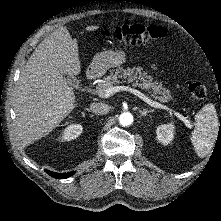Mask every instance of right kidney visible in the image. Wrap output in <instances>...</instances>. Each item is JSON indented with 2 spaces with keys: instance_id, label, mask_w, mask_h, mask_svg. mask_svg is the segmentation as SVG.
I'll use <instances>...</instances> for the list:
<instances>
[{
  "instance_id": "obj_1",
  "label": "right kidney",
  "mask_w": 221,
  "mask_h": 221,
  "mask_svg": "<svg viewBox=\"0 0 221 221\" xmlns=\"http://www.w3.org/2000/svg\"><path fill=\"white\" fill-rule=\"evenodd\" d=\"M83 131V127L80 124H71L64 129L61 135L63 141H70L76 139Z\"/></svg>"
}]
</instances>
